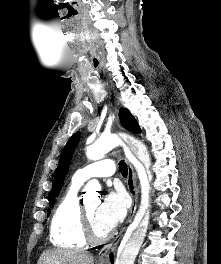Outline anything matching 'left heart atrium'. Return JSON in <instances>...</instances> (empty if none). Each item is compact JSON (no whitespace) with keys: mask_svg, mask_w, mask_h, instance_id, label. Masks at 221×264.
I'll return each instance as SVG.
<instances>
[{"mask_svg":"<svg viewBox=\"0 0 221 264\" xmlns=\"http://www.w3.org/2000/svg\"><path fill=\"white\" fill-rule=\"evenodd\" d=\"M127 199L121 191H111L98 207V217L111 230L123 220L127 212Z\"/></svg>","mask_w":221,"mask_h":264,"instance_id":"39dd6f15","label":"left heart atrium"}]
</instances>
